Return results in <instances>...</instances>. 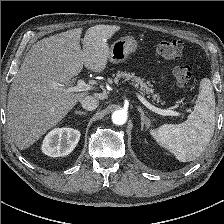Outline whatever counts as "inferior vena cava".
Here are the masks:
<instances>
[{
	"label": "inferior vena cava",
	"mask_w": 224,
	"mask_h": 224,
	"mask_svg": "<svg viewBox=\"0 0 224 224\" xmlns=\"http://www.w3.org/2000/svg\"><path fill=\"white\" fill-rule=\"evenodd\" d=\"M80 102L82 107L89 111L96 109L99 105V100L94 96H85Z\"/></svg>",
	"instance_id": "inferior-vena-cava-1"
}]
</instances>
